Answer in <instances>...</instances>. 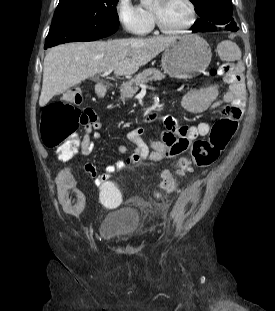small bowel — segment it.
I'll use <instances>...</instances> for the list:
<instances>
[{
    "mask_svg": "<svg viewBox=\"0 0 275 311\" xmlns=\"http://www.w3.org/2000/svg\"><path fill=\"white\" fill-rule=\"evenodd\" d=\"M217 51L220 53V57H232V59L238 60L231 78L226 80L227 91L219 96V88L216 84L191 90L184 97L183 107L186 111L194 114L217 111L223 115L224 119L236 118L238 120L245 103L243 64L240 61L241 52L238 46L231 41L223 42L222 46H218ZM85 126L87 135L83 139L82 154L89 155L94 148V142L90 135L98 138L102 124L94 114L91 121ZM147 126H162V119H160L159 114H150L149 119H147ZM211 129L212 125L205 121L193 125H181L174 117L167 116L163 119V129L158 139L148 138L145 140L144 129L135 128L127 134V138L135 145L132 154L125 159L116 160L105 167L100 174H97L96 167L91 162L85 163L84 169L95 178L97 185L98 183H105L106 178H111L115 172L140 159L158 162L165 158L178 156L187 149L194 138L208 135ZM117 152L124 155L127 153V147L119 145ZM58 173V188L61 192L58 194V201H62L59 212L65 213L66 216H83L84 188L75 187L73 183V176H80V169H71L70 173H67L65 169H60Z\"/></svg>",
    "mask_w": 275,
    "mask_h": 311,
    "instance_id": "small-bowel-1",
    "label": "small bowel"
}]
</instances>
